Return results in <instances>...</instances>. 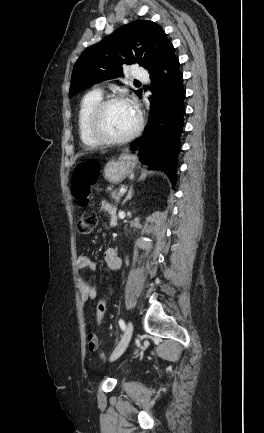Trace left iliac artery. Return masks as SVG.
<instances>
[{
    "label": "left iliac artery",
    "mask_w": 264,
    "mask_h": 433,
    "mask_svg": "<svg viewBox=\"0 0 264 433\" xmlns=\"http://www.w3.org/2000/svg\"><path fill=\"white\" fill-rule=\"evenodd\" d=\"M119 325L122 330H125V322L122 319L119 320Z\"/></svg>",
    "instance_id": "left-iliac-artery-1"
}]
</instances>
